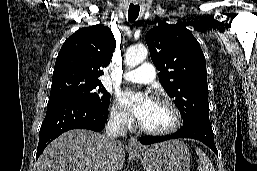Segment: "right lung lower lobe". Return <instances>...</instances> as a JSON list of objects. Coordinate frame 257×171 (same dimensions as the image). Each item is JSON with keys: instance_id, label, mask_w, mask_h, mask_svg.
<instances>
[{"instance_id": "right-lung-lower-lobe-1", "label": "right lung lower lobe", "mask_w": 257, "mask_h": 171, "mask_svg": "<svg viewBox=\"0 0 257 171\" xmlns=\"http://www.w3.org/2000/svg\"><path fill=\"white\" fill-rule=\"evenodd\" d=\"M108 117V108H98L83 100L62 99L50 101L39 132L36 159L45 147L62 133L71 129H90L100 132Z\"/></svg>"}]
</instances>
